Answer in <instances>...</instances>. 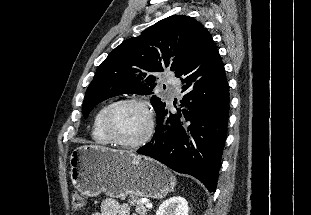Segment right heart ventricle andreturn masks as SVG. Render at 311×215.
I'll list each match as a JSON object with an SVG mask.
<instances>
[{
    "instance_id": "right-heart-ventricle-1",
    "label": "right heart ventricle",
    "mask_w": 311,
    "mask_h": 215,
    "mask_svg": "<svg viewBox=\"0 0 311 215\" xmlns=\"http://www.w3.org/2000/svg\"><path fill=\"white\" fill-rule=\"evenodd\" d=\"M111 103H106L102 105L94 115L93 123H92V138L93 140L102 145H107L112 143L110 139L105 135L102 129V118L106 109L110 106Z\"/></svg>"
}]
</instances>
